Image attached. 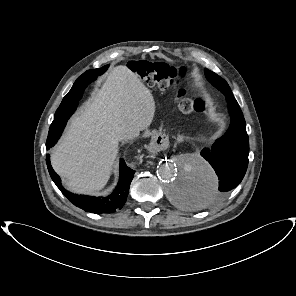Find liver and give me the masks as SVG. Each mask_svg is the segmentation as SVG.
<instances>
[{
    "instance_id": "6515ba94",
    "label": "liver",
    "mask_w": 296,
    "mask_h": 296,
    "mask_svg": "<svg viewBox=\"0 0 296 296\" xmlns=\"http://www.w3.org/2000/svg\"><path fill=\"white\" fill-rule=\"evenodd\" d=\"M154 114L153 95L139 75L126 66L114 67L53 149L54 170L73 192L101 190L110 177L119 136L128 131L139 135Z\"/></svg>"
}]
</instances>
